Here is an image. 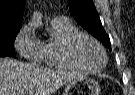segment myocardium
Here are the masks:
<instances>
[{
    "label": "myocardium",
    "instance_id": "obj_1",
    "mask_svg": "<svg viewBox=\"0 0 135 95\" xmlns=\"http://www.w3.org/2000/svg\"><path fill=\"white\" fill-rule=\"evenodd\" d=\"M81 38H86V39L92 41L99 48V50L101 51L102 56H103V64L101 67H99V68L87 67V66L81 64L74 57V54H73L74 45ZM60 56L66 63L70 64L71 66L81 69V70L92 72V73H97V72L102 71L106 67L107 61H108L107 53H106L104 47L102 46V44L96 38L91 36L90 34L85 33V32H80V31H77L66 38V40L63 42V44L60 47Z\"/></svg>",
    "mask_w": 135,
    "mask_h": 95
}]
</instances>
